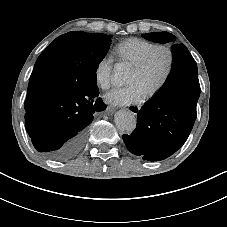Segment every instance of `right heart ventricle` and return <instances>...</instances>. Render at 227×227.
Listing matches in <instances>:
<instances>
[{"mask_svg": "<svg viewBox=\"0 0 227 227\" xmlns=\"http://www.w3.org/2000/svg\"><path fill=\"white\" fill-rule=\"evenodd\" d=\"M155 44L141 38H128L115 47V54L120 63L135 66Z\"/></svg>", "mask_w": 227, "mask_h": 227, "instance_id": "right-heart-ventricle-1", "label": "right heart ventricle"}]
</instances>
